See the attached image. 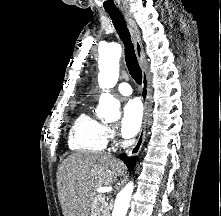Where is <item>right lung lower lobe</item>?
Instances as JSON below:
<instances>
[{"mask_svg":"<svg viewBox=\"0 0 221 216\" xmlns=\"http://www.w3.org/2000/svg\"><path fill=\"white\" fill-rule=\"evenodd\" d=\"M120 158L122 160H124V162L126 163L129 171H131L134 168V166L136 164V160H137V158L135 156L127 157L126 154H122V155H120Z\"/></svg>","mask_w":221,"mask_h":216,"instance_id":"obj_1","label":"right lung lower lobe"}]
</instances>
